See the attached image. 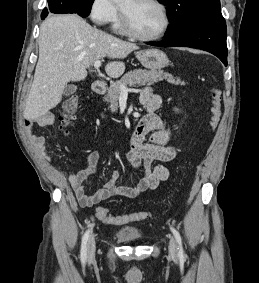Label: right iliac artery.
Masks as SVG:
<instances>
[{"label":"right iliac artery","mask_w":259,"mask_h":283,"mask_svg":"<svg viewBox=\"0 0 259 283\" xmlns=\"http://www.w3.org/2000/svg\"><path fill=\"white\" fill-rule=\"evenodd\" d=\"M89 234H90V229H88L82 237L81 252H80V258L82 263H85L87 259V241L89 238Z\"/></svg>","instance_id":"obj_1"}]
</instances>
